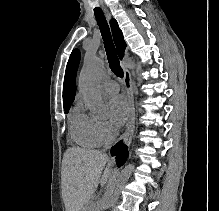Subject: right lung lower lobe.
I'll return each mask as SVG.
<instances>
[{"mask_svg": "<svg viewBox=\"0 0 219 211\" xmlns=\"http://www.w3.org/2000/svg\"><path fill=\"white\" fill-rule=\"evenodd\" d=\"M111 155L115 156L117 155L116 163L120 167L124 164L126 161V158L128 157V149L127 146L122 144L120 141L115 146L111 148Z\"/></svg>", "mask_w": 219, "mask_h": 211, "instance_id": "1", "label": "right lung lower lobe"}]
</instances>
